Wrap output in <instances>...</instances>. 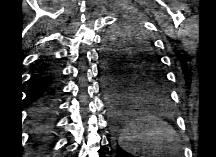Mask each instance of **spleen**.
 I'll return each instance as SVG.
<instances>
[{"instance_id": "3e777b00", "label": "spleen", "mask_w": 216, "mask_h": 157, "mask_svg": "<svg viewBox=\"0 0 216 157\" xmlns=\"http://www.w3.org/2000/svg\"><path fill=\"white\" fill-rule=\"evenodd\" d=\"M177 142L176 132L154 116L131 120L119 137L121 148L136 157L175 148Z\"/></svg>"}]
</instances>
